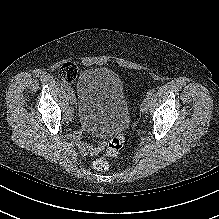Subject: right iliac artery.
<instances>
[{
  "mask_svg": "<svg viewBox=\"0 0 219 219\" xmlns=\"http://www.w3.org/2000/svg\"><path fill=\"white\" fill-rule=\"evenodd\" d=\"M66 88H67V90H68L69 93L72 92V89H71L70 86H67Z\"/></svg>",
  "mask_w": 219,
  "mask_h": 219,
  "instance_id": "obj_1",
  "label": "right iliac artery"
}]
</instances>
